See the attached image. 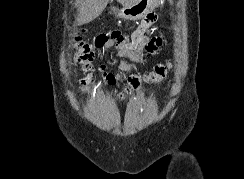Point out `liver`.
Segmentation results:
<instances>
[{"instance_id":"obj_1","label":"liver","mask_w":244,"mask_h":179,"mask_svg":"<svg viewBox=\"0 0 244 179\" xmlns=\"http://www.w3.org/2000/svg\"><path fill=\"white\" fill-rule=\"evenodd\" d=\"M80 6L79 20L82 24H88L95 20L104 8H106L109 0H76Z\"/></svg>"}]
</instances>
